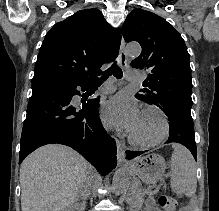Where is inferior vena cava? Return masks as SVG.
<instances>
[{"instance_id":"obj_1","label":"inferior vena cava","mask_w":219,"mask_h":211,"mask_svg":"<svg viewBox=\"0 0 219 211\" xmlns=\"http://www.w3.org/2000/svg\"><path fill=\"white\" fill-rule=\"evenodd\" d=\"M102 174L101 170H92L91 174H86V182L82 184V188L79 189V192L81 195H83L84 198H91L92 194L90 193L92 190L90 188H96L97 184L99 182V175Z\"/></svg>"}]
</instances>
